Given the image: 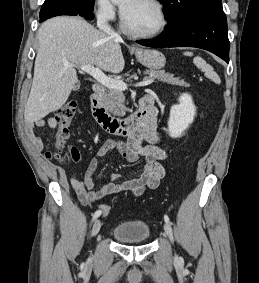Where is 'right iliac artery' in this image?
Returning <instances> with one entry per match:
<instances>
[{"label":"right iliac artery","mask_w":259,"mask_h":283,"mask_svg":"<svg viewBox=\"0 0 259 283\" xmlns=\"http://www.w3.org/2000/svg\"><path fill=\"white\" fill-rule=\"evenodd\" d=\"M101 215V211L100 210H97L95 213H94V215H93V221L96 219V218H98L99 216Z\"/></svg>","instance_id":"82829eb1"}]
</instances>
